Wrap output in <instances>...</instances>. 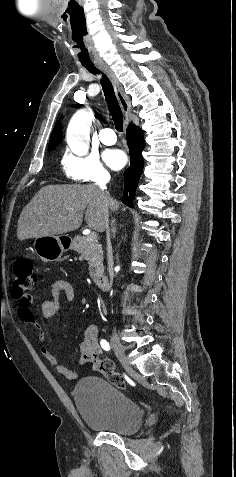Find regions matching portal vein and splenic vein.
<instances>
[{
  "label": "portal vein and splenic vein",
  "instance_id": "18ae733b",
  "mask_svg": "<svg viewBox=\"0 0 236 477\" xmlns=\"http://www.w3.org/2000/svg\"><path fill=\"white\" fill-rule=\"evenodd\" d=\"M97 238V233L96 232H90L87 237H86V240L87 241H94L96 240Z\"/></svg>",
  "mask_w": 236,
  "mask_h": 477
}]
</instances>
